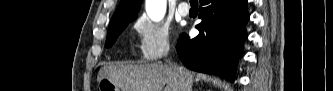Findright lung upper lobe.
<instances>
[{"label":"right lung upper lobe","instance_id":"right-lung-upper-lobe-1","mask_svg":"<svg viewBox=\"0 0 333 91\" xmlns=\"http://www.w3.org/2000/svg\"><path fill=\"white\" fill-rule=\"evenodd\" d=\"M141 3L142 0H121L116 12L111 19V22L125 18L136 17Z\"/></svg>","mask_w":333,"mask_h":91}]
</instances>
